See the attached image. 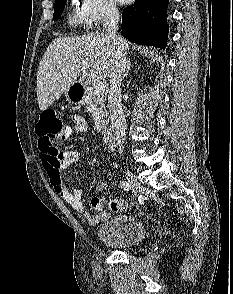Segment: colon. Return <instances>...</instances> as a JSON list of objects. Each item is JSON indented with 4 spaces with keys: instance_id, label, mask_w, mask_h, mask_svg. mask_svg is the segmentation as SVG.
Returning a JSON list of instances; mask_svg holds the SVG:
<instances>
[{
    "instance_id": "colon-1",
    "label": "colon",
    "mask_w": 233,
    "mask_h": 294,
    "mask_svg": "<svg viewBox=\"0 0 233 294\" xmlns=\"http://www.w3.org/2000/svg\"><path fill=\"white\" fill-rule=\"evenodd\" d=\"M63 129V122L54 110L48 109L41 113L36 124V133L39 137L40 150L43 153L51 157L58 155L56 143L61 139ZM106 205L113 211L124 209L123 204L116 199L107 201Z\"/></svg>"
}]
</instances>
